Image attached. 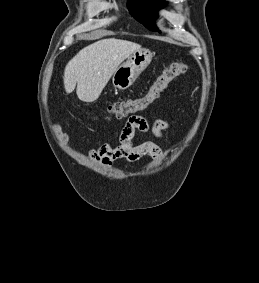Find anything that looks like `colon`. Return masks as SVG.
<instances>
[{
  "mask_svg": "<svg viewBox=\"0 0 259 283\" xmlns=\"http://www.w3.org/2000/svg\"><path fill=\"white\" fill-rule=\"evenodd\" d=\"M188 69L184 62H173L152 82L144 95L115 102L107 108L108 113L114 118L121 119L147 109L174 79L184 75Z\"/></svg>",
  "mask_w": 259,
  "mask_h": 283,
  "instance_id": "colon-1",
  "label": "colon"
}]
</instances>
